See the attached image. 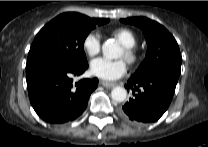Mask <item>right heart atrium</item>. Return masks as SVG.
I'll list each match as a JSON object with an SVG mask.
<instances>
[{
    "label": "right heart atrium",
    "instance_id": "d8ad5b80",
    "mask_svg": "<svg viewBox=\"0 0 208 147\" xmlns=\"http://www.w3.org/2000/svg\"><path fill=\"white\" fill-rule=\"evenodd\" d=\"M84 51L91 57L97 55L101 49V39L98 33L90 32L83 40Z\"/></svg>",
    "mask_w": 208,
    "mask_h": 147
}]
</instances>
